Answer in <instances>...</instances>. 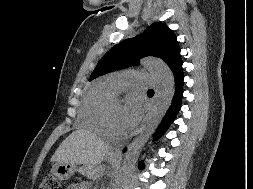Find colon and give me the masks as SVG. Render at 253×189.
I'll list each match as a JSON object with an SVG mask.
<instances>
[{"mask_svg": "<svg viewBox=\"0 0 253 189\" xmlns=\"http://www.w3.org/2000/svg\"><path fill=\"white\" fill-rule=\"evenodd\" d=\"M40 189H60V182L52 174H46L43 177Z\"/></svg>", "mask_w": 253, "mask_h": 189, "instance_id": "colon-1", "label": "colon"}]
</instances>
